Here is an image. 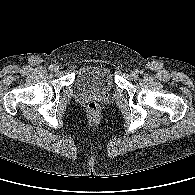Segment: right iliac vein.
I'll return each instance as SVG.
<instances>
[{"instance_id": "1", "label": "right iliac vein", "mask_w": 195, "mask_h": 195, "mask_svg": "<svg viewBox=\"0 0 195 195\" xmlns=\"http://www.w3.org/2000/svg\"><path fill=\"white\" fill-rule=\"evenodd\" d=\"M54 71H55V72H58V71H59V67H58V66H55V67H54Z\"/></svg>"}]
</instances>
